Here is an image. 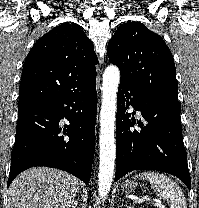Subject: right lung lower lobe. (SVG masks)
Instances as JSON below:
<instances>
[{
  "label": "right lung lower lobe",
  "mask_w": 199,
  "mask_h": 208,
  "mask_svg": "<svg viewBox=\"0 0 199 208\" xmlns=\"http://www.w3.org/2000/svg\"><path fill=\"white\" fill-rule=\"evenodd\" d=\"M96 111V79L81 89L19 106L8 186L19 173L33 166L58 168L88 184L95 150ZM63 118L70 123L64 128L59 126Z\"/></svg>",
  "instance_id": "obj_1"
}]
</instances>
